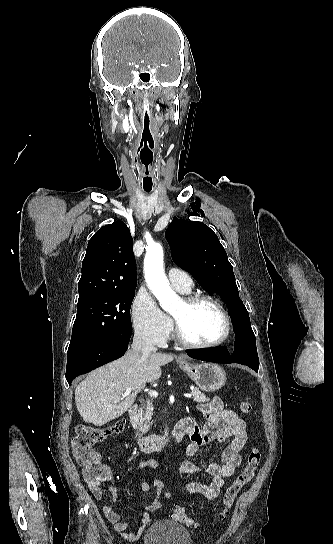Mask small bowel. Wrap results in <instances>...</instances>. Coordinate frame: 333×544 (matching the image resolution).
Listing matches in <instances>:
<instances>
[{
  "instance_id": "obj_1",
  "label": "small bowel",
  "mask_w": 333,
  "mask_h": 544,
  "mask_svg": "<svg viewBox=\"0 0 333 544\" xmlns=\"http://www.w3.org/2000/svg\"><path fill=\"white\" fill-rule=\"evenodd\" d=\"M198 409L205 417L206 423L201 426L192 418L183 420L186 434L190 437L191 442L185 451L187 458L179 462L177 471L183 474L200 472L201 466L194 461V458L199 454L201 448L215 441L219 443L229 441L222 454V464L210 463L207 466L206 470L211 476L210 483L191 482L183 486V490L188 494H200L208 500H213L219 495L225 479L232 476L241 464L240 451L247 441L246 423L233 410L225 408L219 397L201 403ZM159 466V462L155 459L141 460L137 465L139 469H157ZM106 472L105 481L108 483V489L111 494L115 495L117 493L115 483L118 477L108 468H106ZM152 486L157 490L156 499L154 502L144 505L140 524L134 531L127 532L128 523L110 505H104L102 508L104 516L113 525V528L128 541H136L141 537L151 521L150 514L171 497V491L164 486L162 481L155 480ZM150 488L151 485L146 480L141 481V490L144 493H148ZM91 491L95 499H102L101 487L91 488Z\"/></svg>"
}]
</instances>
